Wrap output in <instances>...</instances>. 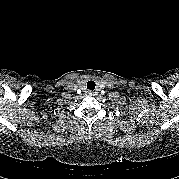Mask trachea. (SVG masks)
I'll return each mask as SVG.
<instances>
[{"instance_id": "1", "label": "trachea", "mask_w": 179, "mask_h": 179, "mask_svg": "<svg viewBox=\"0 0 179 179\" xmlns=\"http://www.w3.org/2000/svg\"><path fill=\"white\" fill-rule=\"evenodd\" d=\"M95 86H96V84L94 81L90 80L87 82V89L93 91L95 89Z\"/></svg>"}]
</instances>
